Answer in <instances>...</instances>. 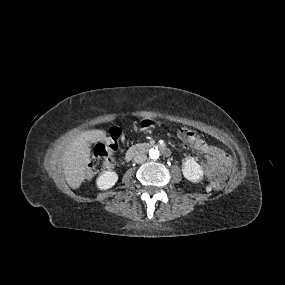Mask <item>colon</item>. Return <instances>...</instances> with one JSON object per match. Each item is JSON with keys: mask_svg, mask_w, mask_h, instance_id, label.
I'll use <instances>...</instances> for the list:
<instances>
[{"mask_svg": "<svg viewBox=\"0 0 285 285\" xmlns=\"http://www.w3.org/2000/svg\"><path fill=\"white\" fill-rule=\"evenodd\" d=\"M119 135V130L113 129L104 142H100L95 146L92 158L84 173L86 179H91L98 173L104 172L113 166V151L116 148ZM179 136L187 145H195L199 140L197 133L187 128L181 129ZM223 186L224 182L219 179H215L209 183L210 189L214 191L222 189Z\"/></svg>", "mask_w": 285, "mask_h": 285, "instance_id": "obj_1", "label": "colon"}]
</instances>
